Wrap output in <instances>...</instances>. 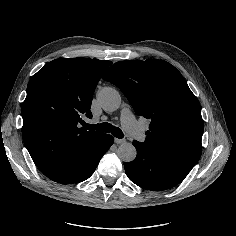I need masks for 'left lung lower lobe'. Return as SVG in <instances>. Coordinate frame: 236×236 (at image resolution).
Returning <instances> with one entry per match:
<instances>
[{
    "instance_id": "1",
    "label": "left lung lower lobe",
    "mask_w": 236,
    "mask_h": 236,
    "mask_svg": "<svg viewBox=\"0 0 236 236\" xmlns=\"http://www.w3.org/2000/svg\"><path fill=\"white\" fill-rule=\"evenodd\" d=\"M136 158L125 164L129 179L136 185L149 190H166L179 184L190 169L175 158L133 141Z\"/></svg>"
}]
</instances>
